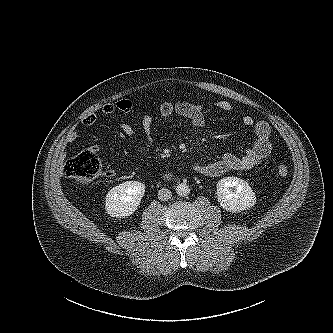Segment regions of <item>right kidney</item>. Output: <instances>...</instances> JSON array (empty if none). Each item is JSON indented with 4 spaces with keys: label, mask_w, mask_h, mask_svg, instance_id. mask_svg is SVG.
<instances>
[{
    "label": "right kidney",
    "mask_w": 333,
    "mask_h": 333,
    "mask_svg": "<svg viewBox=\"0 0 333 333\" xmlns=\"http://www.w3.org/2000/svg\"><path fill=\"white\" fill-rule=\"evenodd\" d=\"M144 192L145 185L139 181H126L115 186L105 198L107 214L116 218L132 215L140 205Z\"/></svg>",
    "instance_id": "ca27d5eb"
}]
</instances>
